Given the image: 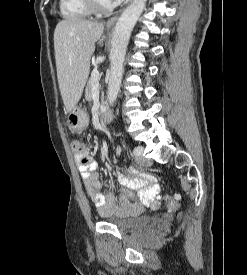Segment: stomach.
I'll list each match as a JSON object with an SVG mask.
<instances>
[{"label":"stomach","mask_w":247,"mask_h":275,"mask_svg":"<svg viewBox=\"0 0 247 275\" xmlns=\"http://www.w3.org/2000/svg\"><path fill=\"white\" fill-rule=\"evenodd\" d=\"M88 115L85 110L75 106L68 115L69 127L74 131H83L88 126Z\"/></svg>","instance_id":"0dacf381"}]
</instances>
